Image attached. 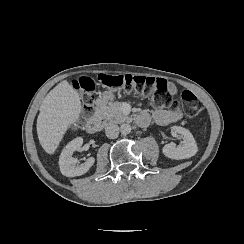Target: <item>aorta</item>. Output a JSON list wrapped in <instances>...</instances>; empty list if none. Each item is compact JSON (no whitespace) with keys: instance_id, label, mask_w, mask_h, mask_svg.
Segmentation results:
<instances>
[{"instance_id":"1","label":"aorta","mask_w":244,"mask_h":244,"mask_svg":"<svg viewBox=\"0 0 244 244\" xmlns=\"http://www.w3.org/2000/svg\"><path fill=\"white\" fill-rule=\"evenodd\" d=\"M132 130V127L130 124L124 123L120 126V131L123 135H128Z\"/></svg>"}]
</instances>
